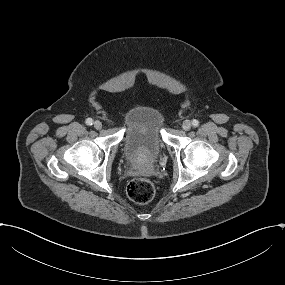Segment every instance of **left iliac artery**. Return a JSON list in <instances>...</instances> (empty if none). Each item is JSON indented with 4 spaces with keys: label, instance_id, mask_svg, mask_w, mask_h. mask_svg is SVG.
Here are the masks:
<instances>
[{
    "label": "left iliac artery",
    "instance_id": "1",
    "mask_svg": "<svg viewBox=\"0 0 285 285\" xmlns=\"http://www.w3.org/2000/svg\"><path fill=\"white\" fill-rule=\"evenodd\" d=\"M192 125H193L194 127L199 126V121L196 120V119L192 120Z\"/></svg>",
    "mask_w": 285,
    "mask_h": 285
}]
</instances>
